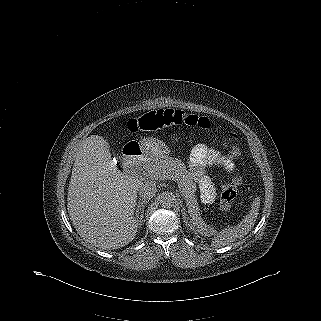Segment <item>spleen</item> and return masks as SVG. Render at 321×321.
Returning <instances> with one entry per match:
<instances>
[{
  "label": "spleen",
  "mask_w": 321,
  "mask_h": 321,
  "mask_svg": "<svg viewBox=\"0 0 321 321\" xmlns=\"http://www.w3.org/2000/svg\"><path fill=\"white\" fill-rule=\"evenodd\" d=\"M260 206V198H255L252 208L244 219L236 226L223 229L214 237L213 244L215 246H226L234 242L236 239L244 237L254 226L258 216Z\"/></svg>",
  "instance_id": "spleen-1"
}]
</instances>
